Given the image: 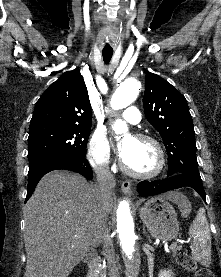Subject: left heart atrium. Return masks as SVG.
Masks as SVG:
<instances>
[{"mask_svg":"<svg viewBox=\"0 0 221 277\" xmlns=\"http://www.w3.org/2000/svg\"><path fill=\"white\" fill-rule=\"evenodd\" d=\"M119 151H120L121 156H123L124 151H125V149H124V146H123V145H122V146H120Z\"/></svg>","mask_w":221,"mask_h":277,"instance_id":"left-heart-atrium-1","label":"left heart atrium"}]
</instances>
